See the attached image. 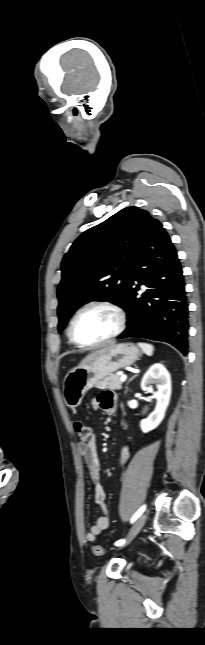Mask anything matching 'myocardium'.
Returning a JSON list of instances; mask_svg holds the SVG:
<instances>
[{
	"label": "myocardium",
	"instance_id": "myocardium-1",
	"mask_svg": "<svg viewBox=\"0 0 205 645\" xmlns=\"http://www.w3.org/2000/svg\"><path fill=\"white\" fill-rule=\"evenodd\" d=\"M94 307L105 308V309L110 310L116 317V326H115L114 330L107 337H105V338H103V339H101L99 341H96V342L84 343V342L79 341L76 338L75 332H74V325H75V322H76L77 318L79 317V315L83 311H85V310H87L89 308H94ZM125 325H126V315H125V312L123 311V309L119 305H117L114 302L108 301V300H92V301H89V302L85 303L84 305H82L74 313L73 317L71 318L70 324H69L68 334H69L70 340L74 344H76L77 346H80V347H83V348H95V347L102 346V345L112 341L117 336H119L123 332V330L125 329Z\"/></svg>",
	"mask_w": 205,
	"mask_h": 645
}]
</instances>
